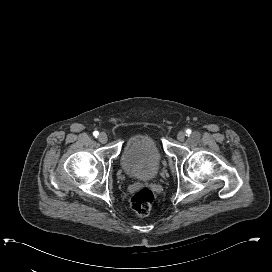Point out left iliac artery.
I'll use <instances>...</instances> for the list:
<instances>
[{"label":"left iliac artery","mask_w":272,"mask_h":272,"mask_svg":"<svg viewBox=\"0 0 272 272\" xmlns=\"http://www.w3.org/2000/svg\"><path fill=\"white\" fill-rule=\"evenodd\" d=\"M186 133L189 135V134H191V130L190 129H187L186 130Z\"/></svg>","instance_id":"1"}]
</instances>
